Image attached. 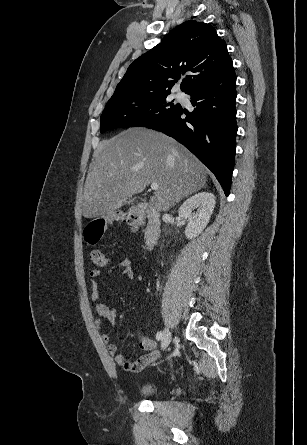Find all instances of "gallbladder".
Returning a JSON list of instances; mask_svg holds the SVG:
<instances>
[{
    "label": "gallbladder",
    "instance_id": "bac80fb5",
    "mask_svg": "<svg viewBox=\"0 0 307 445\" xmlns=\"http://www.w3.org/2000/svg\"><path fill=\"white\" fill-rule=\"evenodd\" d=\"M129 204H134V202H136V196H134V198H130V200H128ZM137 203H140V200H137Z\"/></svg>",
    "mask_w": 307,
    "mask_h": 445
}]
</instances>
